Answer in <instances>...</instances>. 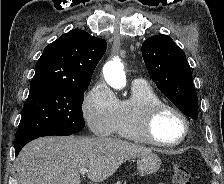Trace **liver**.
I'll return each instance as SVG.
<instances>
[{
	"label": "liver",
	"mask_w": 224,
	"mask_h": 184,
	"mask_svg": "<svg viewBox=\"0 0 224 184\" xmlns=\"http://www.w3.org/2000/svg\"><path fill=\"white\" fill-rule=\"evenodd\" d=\"M141 145L107 137H41L16 159L19 184H81L80 170L100 183L127 160L151 153Z\"/></svg>",
	"instance_id": "6515ba94"
}]
</instances>
